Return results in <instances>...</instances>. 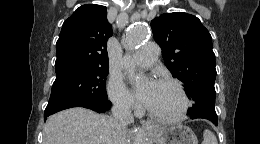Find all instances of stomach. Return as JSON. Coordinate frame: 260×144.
Segmentation results:
<instances>
[{"instance_id": "obj_1", "label": "stomach", "mask_w": 260, "mask_h": 144, "mask_svg": "<svg viewBox=\"0 0 260 144\" xmlns=\"http://www.w3.org/2000/svg\"><path fill=\"white\" fill-rule=\"evenodd\" d=\"M149 134L155 144H198L193 130L185 125L156 127Z\"/></svg>"}]
</instances>
